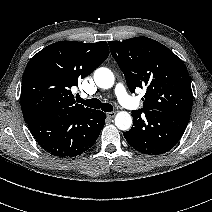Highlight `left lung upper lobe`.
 I'll return each instance as SVG.
<instances>
[{"instance_id":"obj_1","label":"left lung upper lobe","mask_w":212,"mask_h":212,"mask_svg":"<svg viewBox=\"0 0 212 212\" xmlns=\"http://www.w3.org/2000/svg\"><path fill=\"white\" fill-rule=\"evenodd\" d=\"M109 46L130 91L146 87L143 108L138 111L191 114L193 94L188 71L170 49L147 37L111 41Z\"/></svg>"}]
</instances>
